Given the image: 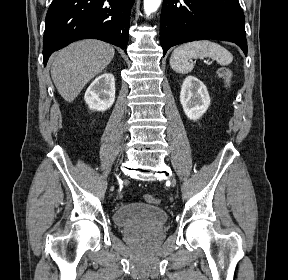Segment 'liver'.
I'll return each instance as SVG.
<instances>
[{"label": "liver", "mask_w": 288, "mask_h": 280, "mask_svg": "<svg viewBox=\"0 0 288 280\" xmlns=\"http://www.w3.org/2000/svg\"><path fill=\"white\" fill-rule=\"evenodd\" d=\"M115 50L98 40L77 41L54 58L51 77L59 94L72 102L84 86L112 61Z\"/></svg>", "instance_id": "liver-1"}]
</instances>
